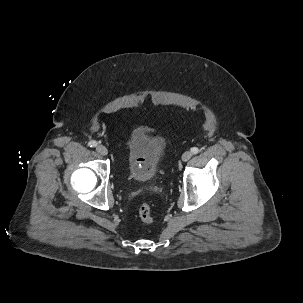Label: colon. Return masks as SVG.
<instances>
[{
	"instance_id": "5ec220e1",
	"label": "colon",
	"mask_w": 303,
	"mask_h": 303,
	"mask_svg": "<svg viewBox=\"0 0 303 303\" xmlns=\"http://www.w3.org/2000/svg\"><path fill=\"white\" fill-rule=\"evenodd\" d=\"M138 216L144 224L150 225L154 222L151 208L147 203H143L139 206Z\"/></svg>"
}]
</instances>
